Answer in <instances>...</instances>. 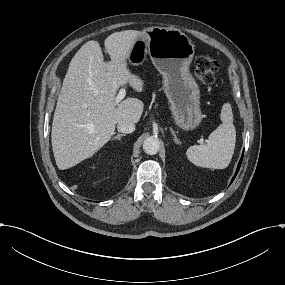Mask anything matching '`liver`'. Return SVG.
I'll return each instance as SVG.
<instances>
[{
	"label": "liver",
	"mask_w": 285,
	"mask_h": 285,
	"mask_svg": "<svg viewBox=\"0 0 285 285\" xmlns=\"http://www.w3.org/2000/svg\"><path fill=\"white\" fill-rule=\"evenodd\" d=\"M139 30L115 32L104 40L111 62L103 63L98 41L85 43L71 60L52 122V148L60 170L93 157L115 134L121 120L138 123L144 104L136 98L117 99L118 86L127 83L135 92L146 89L145 80L129 68Z\"/></svg>",
	"instance_id": "6515ba94"
}]
</instances>
